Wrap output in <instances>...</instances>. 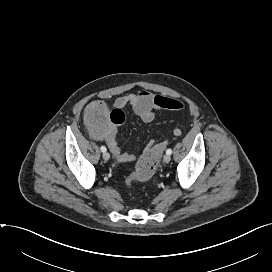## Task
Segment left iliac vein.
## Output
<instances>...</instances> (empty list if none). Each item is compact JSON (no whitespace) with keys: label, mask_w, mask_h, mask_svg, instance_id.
Masks as SVG:
<instances>
[{"label":"left iliac vein","mask_w":272,"mask_h":272,"mask_svg":"<svg viewBox=\"0 0 272 272\" xmlns=\"http://www.w3.org/2000/svg\"><path fill=\"white\" fill-rule=\"evenodd\" d=\"M163 160L165 163H169L171 160V156L169 154H165L163 157Z\"/></svg>","instance_id":"left-iliac-vein-1"}]
</instances>
